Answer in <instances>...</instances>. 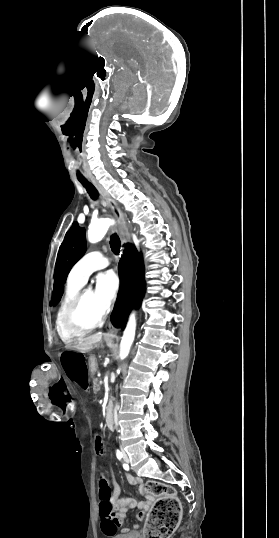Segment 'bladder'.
Masks as SVG:
<instances>
[{
  "label": "bladder",
  "instance_id": "bladder-1",
  "mask_svg": "<svg viewBox=\"0 0 279 538\" xmlns=\"http://www.w3.org/2000/svg\"><path fill=\"white\" fill-rule=\"evenodd\" d=\"M115 538H139L138 532H116Z\"/></svg>",
  "mask_w": 279,
  "mask_h": 538
}]
</instances>
